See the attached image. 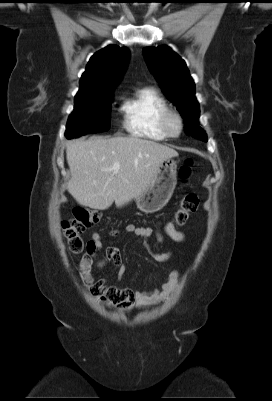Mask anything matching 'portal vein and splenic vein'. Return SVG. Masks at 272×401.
<instances>
[{"instance_id":"18ae733b","label":"portal vein and splenic vein","mask_w":272,"mask_h":401,"mask_svg":"<svg viewBox=\"0 0 272 401\" xmlns=\"http://www.w3.org/2000/svg\"><path fill=\"white\" fill-rule=\"evenodd\" d=\"M120 169V165L118 163H115L112 168H110L109 170L114 171L115 173L119 172Z\"/></svg>"}]
</instances>
